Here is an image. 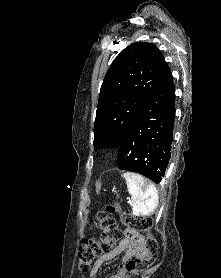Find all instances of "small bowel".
I'll list each match as a JSON object with an SVG mask.
<instances>
[{"mask_svg": "<svg viewBox=\"0 0 221 278\" xmlns=\"http://www.w3.org/2000/svg\"><path fill=\"white\" fill-rule=\"evenodd\" d=\"M143 253V238L142 236L129 228L125 230V238L120 243L107 253L101 255L94 263L90 272L91 277H96L100 269L107 262L114 260L119 255L123 254L120 271L111 275L109 278H129L125 265L133 257H139Z\"/></svg>", "mask_w": 221, "mask_h": 278, "instance_id": "1", "label": "small bowel"}]
</instances>
